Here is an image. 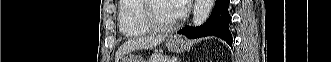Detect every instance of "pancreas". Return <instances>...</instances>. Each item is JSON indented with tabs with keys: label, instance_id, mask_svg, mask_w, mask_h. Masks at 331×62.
Returning <instances> with one entry per match:
<instances>
[{
	"label": "pancreas",
	"instance_id": "obj_1",
	"mask_svg": "<svg viewBox=\"0 0 331 62\" xmlns=\"http://www.w3.org/2000/svg\"><path fill=\"white\" fill-rule=\"evenodd\" d=\"M168 61H169V57L164 56L162 54H153L150 60V62H168Z\"/></svg>",
	"mask_w": 331,
	"mask_h": 62
}]
</instances>
